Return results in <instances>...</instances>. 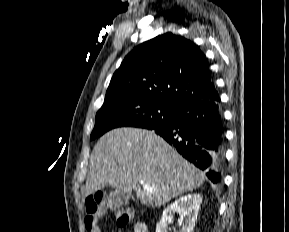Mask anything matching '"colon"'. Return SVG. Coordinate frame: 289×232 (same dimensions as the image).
<instances>
[{"instance_id":"5ec220e1","label":"colon","mask_w":289,"mask_h":232,"mask_svg":"<svg viewBox=\"0 0 289 232\" xmlns=\"http://www.w3.org/2000/svg\"><path fill=\"white\" fill-rule=\"evenodd\" d=\"M102 213H112L119 227L126 226L131 220L129 209L114 208L105 203L101 195L90 196L85 201L84 226L86 232H101L98 218Z\"/></svg>"}]
</instances>
